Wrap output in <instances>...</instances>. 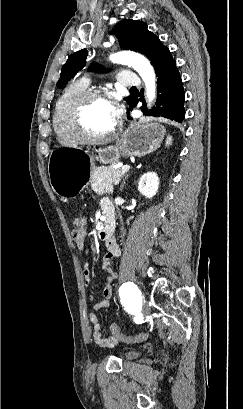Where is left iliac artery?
I'll list each match as a JSON object with an SVG mask.
<instances>
[{
	"instance_id": "44dca946",
	"label": "left iliac artery",
	"mask_w": 243,
	"mask_h": 409,
	"mask_svg": "<svg viewBox=\"0 0 243 409\" xmlns=\"http://www.w3.org/2000/svg\"><path fill=\"white\" fill-rule=\"evenodd\" d=\"M119 294H120L121 298H123L125 296L126 297L130 296L131 299L133 300L134 304L138 303V302L136 303V300H135L138 297V295H139V299L141 298V296H140L141 293H140L139 289L131 282L123 284L119 289Z\"/></svg>"
}]
</instances>
